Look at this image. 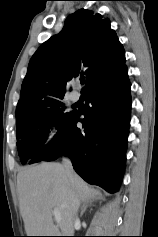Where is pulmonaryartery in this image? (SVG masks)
<instances>
[{"label":"pulmonary artery","instance_id":"1","mask_svg":"<svg viewBox=\"0 0 158 237\" xmlns=\"http://www.w3.org/2000/svg\"><path fill=\"white\" fill-rule=\"evenodd\" d=\"M79 98H80V95H79V93H77V92H72V93L70 94V100H71L72 102H77V101L79 100Z\"/></svg>","mask_w":158,"mask_h":237}]
</instances>
